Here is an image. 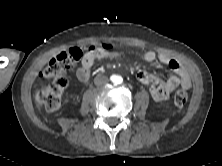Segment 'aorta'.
I'll return each instance as SVG.
<instances>
[{
    "label": "aorta",
    "mask_w": 222,
    "mask_h": 166,
    "mask_svg": "<svg viewBox=\"0 0 222 166\" xmlns=\"http://www.w3.org/2000/svg\"><path fill=\"white\" fill-rule=\"evenodd\" d=\"M114 82L115 83H121L122 82V78L121 77H115Z\"/></svg>",
    "instance_id": "obj_1"
}]
</instances>
